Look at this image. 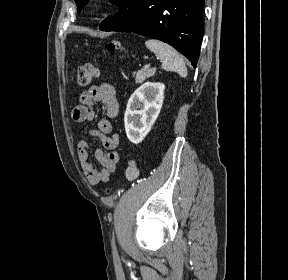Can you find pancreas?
<instances>
[{"label":"pancreas","instance_id":"1","mask_svg":"<svg viewBox=\"0 0 288 280\" xmlns=\"http://www.w3.org/2000/svg\"><path fill=\"white\" fill-rule=\"evenodd\" d=\"M156 72L155 68L151 69H142L140 71L134 72L133 75L135 76V83H142L146 79L153 76Z\"/></svg>","mask_w":288,"mask_h":280}]
</instances>
